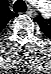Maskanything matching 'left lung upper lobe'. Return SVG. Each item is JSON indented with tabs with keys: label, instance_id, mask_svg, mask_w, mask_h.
Instances as JSON below:
<instances>
[{
	"label": "left lung upper lobe",
	"instance_id": "obj_1",
	"mask_svg": "<svg viewBox=\"0 0 51 74\" xmlns=\"http://www.w3.org/2000/svg\"><path fill=\"white\" fill-rule=\"evenodd\" d=\"M39 25H43L44 23V19L42 18V17H40V16H38V17H36L35 19H34Z\"/></svg>",
	"mask_w": 51,
	"mask_h": 74
}]
</instances>
